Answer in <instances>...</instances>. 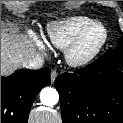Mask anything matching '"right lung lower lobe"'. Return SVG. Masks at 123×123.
I'll return each mask as SVG.
<instances>
[{"label": "right lung lower lobe", "instance_id": "98d812e1", "mask_svg": "<svg viewBox=\"0 0 123 123\" xmlns=\"http://www.w3.org/2000/svg\"><path fill=\"white\" fill-rule=\"evenodd\" d=\"M50 82L49 68L18 70L1 77V123H27L35 97Z\"/></svg>", "mask_w": 123, "mask_h": 123}]
</instances>
